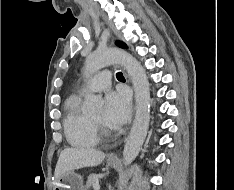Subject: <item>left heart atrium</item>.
Instances as JSON below:
<instances>
[{"instance_id":"39dd6f15","label":"left heart atrium","mask_w":234,"mask_h":190,"mask_svg":"<svg viewBox=\"0 0 234 190\" xmlns=\"http://www.w3.org/2000/svg\"><path fill=\"white\" fill-rule=\"evenodd\" d=\"M104 121L112 128L124 125L131 113L129 95L125 91H112L105 98Z\"/></svg>"}]
</instances>
